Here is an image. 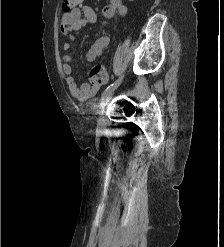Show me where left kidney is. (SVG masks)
<instances>
[{
  "label": "left kidney",
  "mask_w": 224,
  "mask_h": 247,
  "mask_svg": "<svg viewBox=\"0 0 224 247\" xmlns=\"http://www.w3.org/2000/svg\"><path fill=\"white\" fill-rule=\"evenodd\" d=\"M129 2H134V0H129Z\"/></svg>",
  "instance_id": "left-kidney-1"
}]
</instances>
